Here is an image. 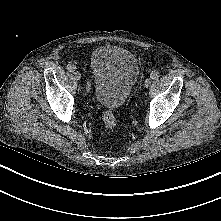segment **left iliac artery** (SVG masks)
<instances>
[{
	"instance_id": "left-iliac-artery-1",
	"label": "left iliac artery",
	"mask_w": 221,
	"mask_h": 221,
	"mask_svg": "<svg viewBox=\"0 0 221 221\" xmlns=\"http://www.w3.org/2000/svg\"><path fill=\"white\" fill-rule=\"evenodd\" d=\"M159 77V72L158 71H152L150 74V78L156 79Z\"/></svg>"
}]
</instances>
